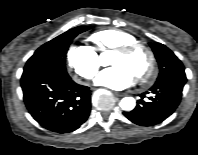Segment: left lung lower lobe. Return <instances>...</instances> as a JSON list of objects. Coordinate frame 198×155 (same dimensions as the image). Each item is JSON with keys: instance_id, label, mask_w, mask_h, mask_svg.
Returning a JSON list of instances; mask_svg holds the SVG:
<instances>
[{"instance_id": "0a47b994", "label": "left lung lower lobe", "mask_w": 198, "mask_h": 155, "mask_svg": "<svg viewBox=\"0 0 198 155\" xmlns=\"http://www.w3.org/2000/svg\"><path fill=\"white\" fill-rule=\"evenodd\" d=\"M187 79L183 76H176L156 82L150 91L153 94L148 100L145 92L140 95L142 98L138 100V105L131 112L123 114L133 123L142 126H153L161 123L168 118L177 108L182 97V90ZM144 112H147L146 114ZM145 114L146 117H142Z\"/></svg>"}]
</instances>
